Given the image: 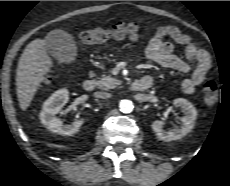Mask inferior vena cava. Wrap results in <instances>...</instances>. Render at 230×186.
Instances as JSON below:
<instances>
[{
  "label": "inferior vena cava",
  "instance_id": "1",
  "mask_svg": "<svg viewBox=\"0 0 230 186\" xmlns=\"http://www.w3.org/2000/svg\"><path fill=\"white\" fill-rule=\"evenodd\" d=\"M94 96L96 98H100V99H108L110 98L112 95L110 93H107V92H96L94 94Z\"/></svg>",
  "mask_w": 230,
  "mask_h": 186
}]
</instances>
